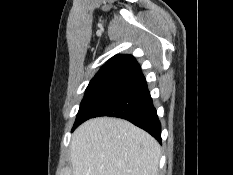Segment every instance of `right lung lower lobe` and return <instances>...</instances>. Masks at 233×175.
Returning a JSON list of instances; mask_svg holds the SVG:
<instances>
[{"label":"right lung lower lobe","instance_id":"right-lung-lower-lobe-1","mask_svg":"<svg viewBox=\"0 0 233 175\" xmlns=\"http://www.w3.org/2000/svg\"><path fill=\"white\" fill-rule=\"evenodd\" d=\"M98 116L126 119L147 131L161 143V124L144 76L136 79L90 118Z\"/></svg>","mask_w":233,"mask_h":175}]
</instances>
